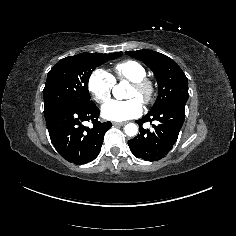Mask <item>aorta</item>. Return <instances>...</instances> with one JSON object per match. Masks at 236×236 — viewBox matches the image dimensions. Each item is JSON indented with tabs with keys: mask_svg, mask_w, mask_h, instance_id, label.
I'll list each match as a JSON object with an SVG mask.
<instances>
[{
	"mask_svg": "<svg viewBox=\"0 0 236 236\" xmlns=\"http://www.w3.org/2000/svg\"><path fill=\"white\" fill-rule=\"evenodd\" d=\"M124 131L127 136H135L138 133V127L134 123H129L125 125Z\"/></svg>",
	"mask_w": 236,
	"mask_h": 236,
	"instance_id": "762f6f07",
	"label": "aorta"
}]
</instances>
